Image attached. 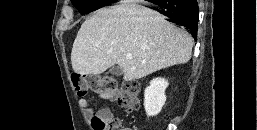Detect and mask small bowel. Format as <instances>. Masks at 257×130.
I'll return each instance as SVG.
<instances>
[{
	"instance_id": "small-bowel-1",
	"label": "small bowel",
	"mask_w": 257,
	"mask_h": 130,
	"mask_svg": "<svg viewBox=\"0 0 257 130\" xmlns=\"http://www.w3.org/2000/svg\"><path fill=\"white\" fill-rule=\"evenodd\" d=\"M102 97L108 99L107 96L102 95ZM79 105L85 110V113L88 117H90L93 114V110L89 107V103L86 98H84V97L80 98ZM97 114L105 116V117L112 116L110 110H108V109L100 110Z\"/></svg>"
}]
</instances>
